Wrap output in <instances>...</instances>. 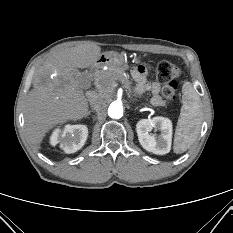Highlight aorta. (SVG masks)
I'll use <instances>...</instances> for the list:
<instances>
[{"label":"aorta","instance_id":"obj_1","mask_svg":"<svg viewBox=\"0 0 233 233\" xmlns=\"http://www.w3.org/2000/svg\"><path fill=\"white\" fill-rule=\"evenodd\" d=\"M108 115L113 119H120L123 116V105L118 101L108 104Z\"/></svg>","mask_w":233,"mask_h":233}]
</instances>
